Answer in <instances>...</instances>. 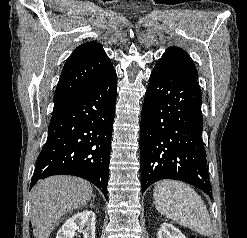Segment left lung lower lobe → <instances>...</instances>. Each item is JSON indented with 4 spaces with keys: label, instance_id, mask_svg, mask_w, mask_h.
Segmentation results:
<instances>
[{
    "label": "left lung lower lobe",
    "instance_id": "1",
    "mask_svg": "<svg viewBox=\"0 0 247 238\" xmlns=\"http://www.w3.org/2000/svg\"><path fill=\"white\" fill-rule=\"evenodd\" d=\"M197 78L159 60L145 93L140 126L142 192L161 179L181 180L211 196L202 141Z\"/></svg>",
    "mask_w": 247,
    "mask_h": 238
}]
</instances>
